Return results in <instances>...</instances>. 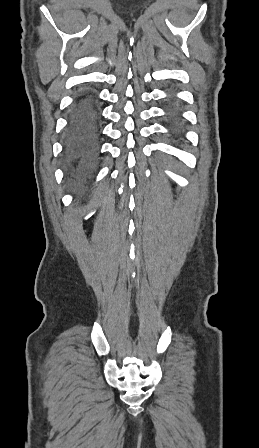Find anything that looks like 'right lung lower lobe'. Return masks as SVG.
I'll list each match as a JSON object with an SVG mask.
<instances>
[{
	"label": "right lung lower lobe",
	"mask_w": 259,
	"mask_h": 448,
	"mask_svg": "<svg viewBox=\"0 0 259 448\" xmlns=\"http://www.w3.org/2000/svg\"><path fill=\"white\" fill-rule=\"evenodd\" d=\"M100 113L95 92L83 87L76 95L63 137V163L71 181L83 182L98 162Z\"/></svg>",
	"instance_id": "obj_1"
}]
</instances>
